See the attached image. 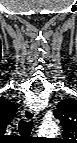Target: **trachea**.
<instances>
[{"mask_svg": "<svg viewBox=\"0 0 77 143\" xmlns=\"http://www.w3.org/2000/svg\"><path fill=\"white\" fill-rule=\"evenodd\" d=\"M33 122L21 120L18 124V130L21 136H28L32 131Z\"/></svg>", "mask_w": 77, "mask_h": 143, "instance_id": "trachea-1", "label": "trachea"}]
</instances>
